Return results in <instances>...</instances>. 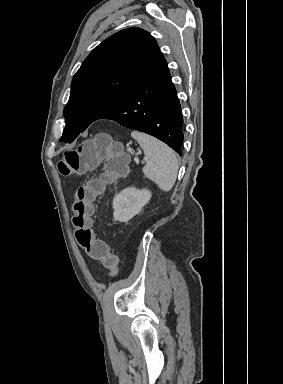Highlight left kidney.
<instances>
[{
  "instance_id": "left-kidney-1",
  "label": "left kidney",
  "mask_w": 283,
  "mask_h": 384,
  "mask_svg": "<svg viewBox=\"0 0 283 384\" xmlns=\"http://www.w3.org/2000/svg\"><path fill=\"white\" fill-rule=\"evenodd\" d=\"M149 200H151L149 190H136V188L122 190L120 194H116L113 200L114 220L116 222H129L131 218L141 212Z\"/></svg>"
}]
</instances>
